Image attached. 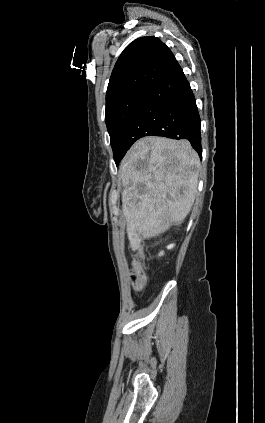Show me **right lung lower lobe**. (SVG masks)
<instances>
[{
  "label": "right lung lower lobe",
  "instance_id": "1",
  "mask_svg": "<svg viewBox=\"0 0 265 423\" xmlns=\"http://www.w3.org/2000/svg\"><path fill=\"white\" fill-rule=\"evenodd\" d=\"M145 136L186 139L202 157L196 101L176 60L149 91L123 129L119 145L124 155L136 140Z\"/></svg>",
  "mask_w": 265,
  "mask_h": 423
}]
</instances>
